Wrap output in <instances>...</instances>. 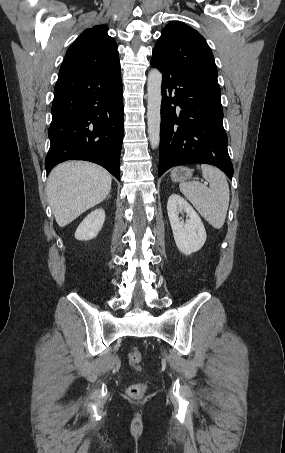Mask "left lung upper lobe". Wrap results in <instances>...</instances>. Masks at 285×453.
Instances as JSON below:
<instances>
[{"mask_svg": "<svg viewBox=\"0 0 285 453\" xmlns=\"http://www.w3.org/2000/svg\"><path fill=\"white\" fill-rule=\"evenodd\" d=\"M153 55L175 69L191 72L220 90L217 68L206 40L195 29L181 22H170L162 29Z\"/></svg>", "mask_w": 285, "mask_h": 453, "instance_id": "1", "label": "left lung upper lobe"}]
</instances>
